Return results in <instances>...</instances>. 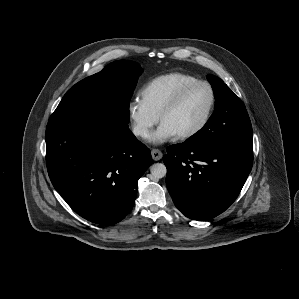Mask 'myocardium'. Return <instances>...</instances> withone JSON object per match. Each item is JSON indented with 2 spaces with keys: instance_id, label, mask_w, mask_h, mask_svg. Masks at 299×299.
I'll return each instance as SVG.
<instances>
[{
  "instance_id": "f54148a6",
  "label": "myocardium",
  "mask_w": 299,
  "mask_h": 299,
  "mask_svg": "<svg viewBox=\"0 0 299 299\" xmlns=\"http://www.w3.org/2000/svg\"><path fill=\"white\" fill-rule=\"evenodd\" d=\"M196 86H205L208 89L209 95H210L209 105H208L207 111H206L202 121L196 127H194L193 129H191L187 132L177 135L178 138L182 139V140L189 139V138H192V137L198 135L208 125V123L211 119L212 113L214 111L215 103H216V94H215L213 86L209 82L204 81V80H196V81L186 84L185 86H183L181 89H179L177 91V93L163 107V109L161 110V112L159 114V121L162 122L163 118L168 113H170L172 110H174L180 104V102L183 100L185 95L192 88H194Z\"/></svg>"
}]
</instances>
